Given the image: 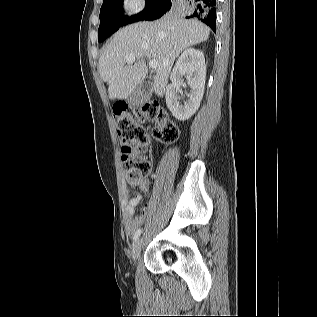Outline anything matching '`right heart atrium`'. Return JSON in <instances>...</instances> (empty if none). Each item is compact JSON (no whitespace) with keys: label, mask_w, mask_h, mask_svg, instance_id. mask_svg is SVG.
Instances as JSON below:
<instances>
[{"label":"right heart atrium","mask_w":317,"mask_h":317,"mask_svg":"<svg viewBox=\"0 0 317 317\" xmlns=\"http://www.w3.org/2000/svg\"><path fill=\"white\" fill-rule=\"evenodd\" d=\"M121 5L128 14L134 15L142 11L145 0H122Z\"/></svg>","instance_id":"d8ad5b80"}]
</instances>
